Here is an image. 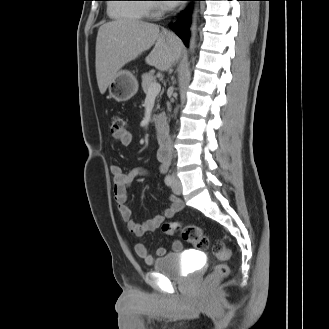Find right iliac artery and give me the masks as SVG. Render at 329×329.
<instances>
[{
  "label": "right iliac artery",
  "mask_w": 329,
  "mask_h": 329,
  "mask_svg": "<svg viewBox=\"0 0 329 329\" xmlns=\"http://www.w3.org/2000/svg\"><path fill=\"white\" fill-rule=\"evenodd\" d=\"M173 177L171 176V175H167L166 177H165V180H164V182H165V184L167 185V186H172V184H173Z\"/></svg>",
  "instance_id": "obj_1"
}]
</instances>
